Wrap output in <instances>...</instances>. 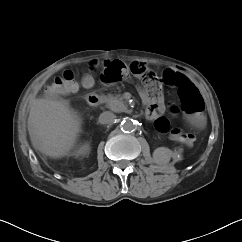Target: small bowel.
I'll return each mask as SVG.
<instances>
[{
  "label": "small bowel",
  "mask_w": 242,
  "mask_h": 242,
  "mask_svg": "<svg viewBox=\"0 0 242 242\" xmlns=\"http://www.w3.org/2000/svg\"><path fill=\"white\" fill-rule=\"evenodd\" d=\"M119 64L121 65L122 68H126V66L118 61ZM166 71H171L176 73L175 70L173 69H167ZM165 71V72H166ZM94 84V80L92 77L90 76H86L83 80H82V85L86 88H90L92 87ZM143 96H145L147 98V95L145 94V92L143 91ZM162 110V104L160 102H157L155 104H153L152 108H151V113H156V112H160ZM187 122L194 128H200L203 124V119L202 116L199 114H190L189 116L186 117ZM192 137L193 135L190 133H184L181 137H180V141L186 145H191L192 144Z\"/></svg>",
  "instance_id": "c3829d8e"
}]
</instances>
